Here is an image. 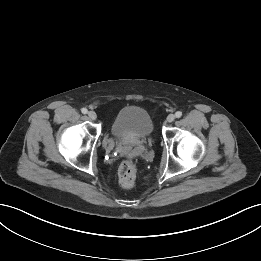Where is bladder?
Wrapping results in <instances>:
<instances>
[{"label": "bladder", "mask_w": 261, "mask_h": 261, "mask_svg": "<svg viewBox=\"0 0 261 261\" xmlns=\"http://www.w3.org/2000/svg\"><path fill=\"white\" fill-rule=\"evenodd\" d=\"M153 128V120L147 110L139 106H126L115 115L110 131L117 139L136 141L149 137Z\"/></svg>", "instance_id": "bladder-1"}]
</instances>
